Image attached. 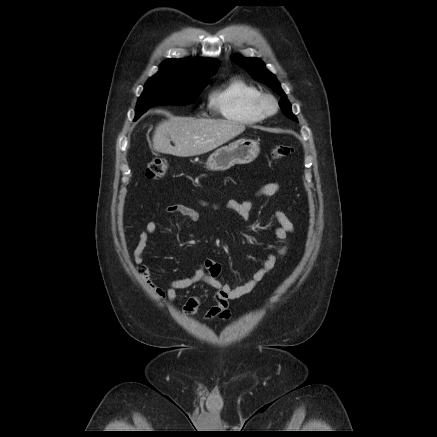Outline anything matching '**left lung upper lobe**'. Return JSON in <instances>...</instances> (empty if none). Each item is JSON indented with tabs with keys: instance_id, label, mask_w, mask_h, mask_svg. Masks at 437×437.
<instances>
[{
	"instance_id": "5c2ea615",
	"label": "left lung upper lobe",
	"mask_w": 437,
	"mask_h": 437,
	"mask_svg": "<svg viewBox=\"0 0 437 437\" xmlns=\"http://www.w3.org/2000/svg\"><path fill=\"white\" fill-rule=\"evenodd\" d=\"M231 60L239 65L240 67L244 68L251 74V76L268 85L271 87L276 93L282 96L281 100L279 101V105L281 107V110L283 113L290 119L298 122L297 118L291 111V105L283 92L278 80L276 77L269 72L266 68L264 63L259 60L258 58H244L241 55H235L231 58Z\"/></svg>"
}]
</instances>
